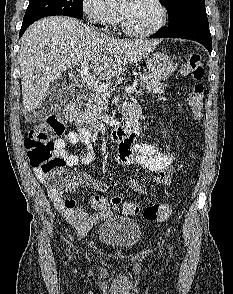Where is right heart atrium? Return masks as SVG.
I'll list each match as a JSON object with an SVG mask.
<instances>
[{"instance_id":"right-heart-atrium-1","label":"right heart atrium","mask_w":233,"mask_h":294,"mask_svg":"<svg viewBox=\"0 0 233 294\" xmlns=\"http://www.w3.org/2000/svg\"><path fill=\"white\" fill-rule=\"evenodd\" d=\"M82 11L88 21L98 27H112L118 21V13L104 0H82Z\"/></svg>"}]
</instances>
